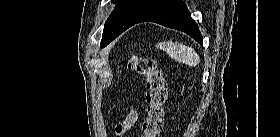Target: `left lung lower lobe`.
I'll list each match as a JSON object with an SVG mask.
<instances>
[{
  "mask_svg": "<svg viewBox=\"0 0 280 137\" xmlns=\"http://www.w3.org/2000/svg\"><path fill=\"white\" fill-rule=\"evenodd\" d=\"M154 22L187 33L202 44V35L183 0H161L139 21ZM135 23V24H136Z\"/></svg>",
  "mask_w": 280,
  "mask_h": 137,
  "instance_id": "1",
  "label": "left lung lower lobe"
}]
</instances>
